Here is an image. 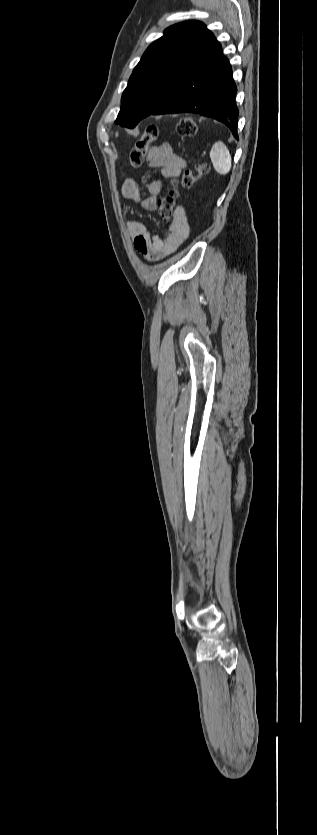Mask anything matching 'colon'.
Here are the masks:
<instances>
[{
  "label": "colon",
  "instance_id": "5ec220e1",
  "mask_svg": "<svg viewBox=\"0 0 317 835\" xmlns=\"http://www.w3.org/2000/svg\"><path fill=\"white\" fill-rule=\"evenodd\" d=\"M197 131V125L191 117H184L178 123L177 132L182 137H194ZM158 135V128L154 125H150L145 129L130 152V162L133 166H140L144 163L149 145L158 138ZM208 172L209 167L207 164L198 163L193 170H186L180 180L171 181L167 192L157 204L158 215L163 223L169 222L173 217L179 188H190L199 178L208 174Z\"/></svg>",
  "mask_w": 317,
  "mask_h": 835
}]
</instances>
